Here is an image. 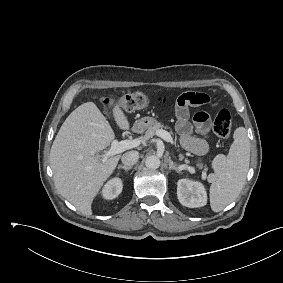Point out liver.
I'll return each instance as SVG.
<instances>
[{
    "mask_svg": "<svg viewBox=\"0 0 283 283\" xmlns=\"http://www.w3.org/2000/svg\"><path fill=\"white\" fill-rule=\"evenodd\" d=\"M113 117L122 130L130 123L119 104ZM115 134L109 122L93 102L76 108L64 121L50 151V165L60 194L86 216L92 214L93 199L115 170L120 156L105 161L96 154L106 149Z\"/></svg>",
    "mask_w": 283,
    "mask_h": 283,
    "instance_id": "liver-1",
    "label": "liver"
}]
</instances>
